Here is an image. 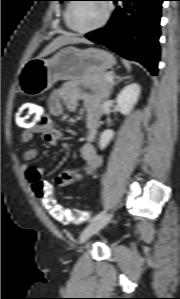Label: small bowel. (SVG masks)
Masks as SVG:
<instances>
[{"label":"small bowel","mask_w":180,"mask_h":299,"mask_svg":"<svg viewBox=\"0 0 180 299\" xmlns=\"http://www.w3.org/2000/svg\"><path fill=\"white\" fill-rule=\"evenodd\" d=\"M80 103L86 108L85 126L87 129L88 142L81 147V157L85 161L84 172L87 175L94 174L101 166V157L97 154L93 141L95 139L100 119L99 99L86 90V86L79 82L66 84L59 91L53 92L48 99L49 115L37 125L25 128L20 136V142L26 144L30 142L35 133L44 135L49 144H56L62 137V132L53 121L54 117H61L64 108L74 111ZM38 155L36 148H29L24 151L23 157L26 161L34 160ZM26 180L34 184L36 182L48 183L43 179L44 171L39 168H23ZM82 179V174L76 169H68L60 176L56 177L54 182L60 187H67Z\"/></svg>","instance_id":"obj_1"}]
</instances>
